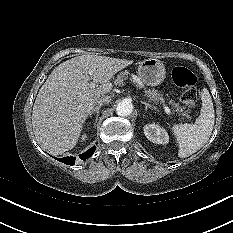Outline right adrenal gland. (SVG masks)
<instances>
[{
	"label": "right adrenal gland",
	"instance_id": "1",
	"mask_svg": "<svg viewBox=\"0 0 233 233\" xmlns=\"http://www.w3.org/2000/svg\"><path fill=\"white\" fill-rule=\"evenodd\" d=\"M101 106H96L89 114V117L91 118L92 115L94 114L96 117H95V123L96 121L98 120V113H99V110H100ZM94 123V124H95Z\"/></svg>",
	"mask_w": 233,
	"mask_h": 233
}]
</instances>
